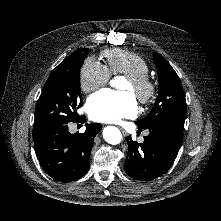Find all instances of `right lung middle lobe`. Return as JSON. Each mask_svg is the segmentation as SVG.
<instances>
[{
  "label": "right lung middle lobe",
  "instance_id": "right-lung-middle-lobe-1",
  "mask_svg": "<svg viewBox=\"0 0 221 221\" xmlns=\"http://www.w3.org/2000/svg\"><path fill=\"white\" fill-rule=\"evenodd\" d=\"M90 49H80L51 73L37 101L33 136L46 129L76 121L80 116L77 109L82 105L80 90V68Z\"/></svg>",
  "mask_w": 221,
  "mask_h": 221
}]
</instances>
